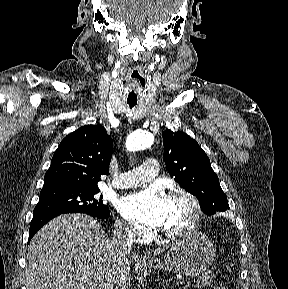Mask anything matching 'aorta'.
<instances>
[{"mask_svg":"<svg viewBox=\"0 0 288 289\" xmlns=\"http://www.w3.org/2000/svg\"><path fill=\"white\" fill-rule=\"evenodd\" d=\"M153 143V136L149 132H134L127 141L126 148L128 151H137L150 147Z\"/></svg>","mask_w":288,"mask_h":289,"instance_id":"1","label":"aorta"}]
</instances>
